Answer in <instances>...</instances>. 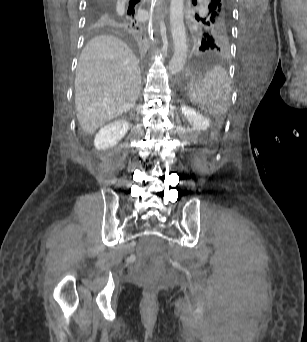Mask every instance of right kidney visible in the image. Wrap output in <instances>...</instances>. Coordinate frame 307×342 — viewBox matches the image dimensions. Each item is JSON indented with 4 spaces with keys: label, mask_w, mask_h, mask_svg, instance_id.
<instances>
[{
    "label": "right kidney",
    "mask_w": 307,
    "mask_h": 342,
    "mask_svg": "<svg viewBox=\"0 0 307 342\" xmlns=\"http://www.w3.org/2000/svg\"><path fill=\"white\" fill-rule=\"evenodd\" d=\"M128 128L129 124L126 120H116L101 128L94 138L96 150H108L116 146L124 138Z\"/></svg>",
    "instance_id": "obj_1"
}]
</instances>
